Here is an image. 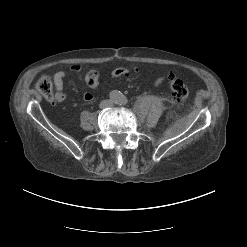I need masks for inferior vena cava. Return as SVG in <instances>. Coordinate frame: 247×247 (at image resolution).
<instances>
[{"label": "inferior vena cava", "mask_w": 247, "mask_h": 247, "mask_svg": "<svg viewBox=\"0 0 247 247\" xmlns=\"http://www.w3.org/2000/svg\"><path fill=\"white\" fill-rule=\"evenodd\" d=\"M110 104H111V102L109 100H103V101H101L99 107L100 108H106V107H109Z\"/></svg>", "instance_id": "602c4592"}]
</instances>
